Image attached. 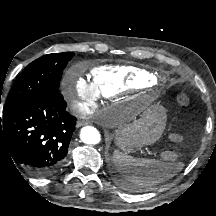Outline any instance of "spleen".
<instances>
[{
	"label": "spleen",
	"mask_w": 216,
	"mask_h": 216,
	"mask_svg": "<svg viewBox=\"0 0 216 216\" xmlns=\"http://www.w3.org/2000/svg\"><path fill=\"white\" fill-rule=\"evenodd\" d=\"M113 162L131 184L143 189L163 183L177 172L169 163L156 159L133 158L119 150L114 151Z\"/></svg>",
	"instance_id": "spleen-1"
}]
</instances>
